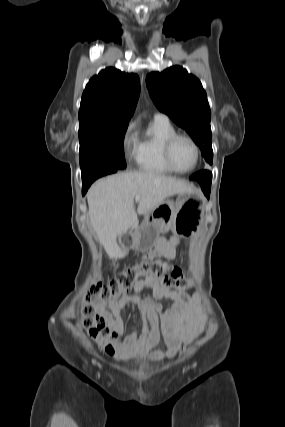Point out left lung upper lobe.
I'll return each mask as SVG.
<instances>
[{
  "mask_svg": "<svg viewBox=\"0 0 285 427\" xmlns=\"http://www.w3.org/2000/svg\"><path fill=\"white\" fill-rule=\"evenodd\" d=\"M146 84L157 108L191 135L212 164L211 111L200 81L184 68L173 66L148 74Z\"/></svg>",
  "mask_w": 285,
  "mask_h": 427,
  "instance_id": "obj_1",
  "label": "left lung upper lobe"
}]
</instances>
